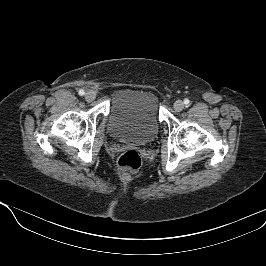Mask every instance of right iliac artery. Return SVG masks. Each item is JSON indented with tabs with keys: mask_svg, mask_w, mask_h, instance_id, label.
Returning <instances> with one entry per match:
<instances>
[{
	"mask_svg": "<svg viewBox=\"0 0 266 266\" xmlns=\"http://www.w3.org/2000/svg\"><path fill=\"white\" fill-rule=\"evenodd\" d=\"M78 93H79V95H80V96H83V95L85 94L84 90H82V89H81V90H79V92H78Z\"/></svg>",
	"mask_w": 266,
	"mask_h": 266,
	"instance_id": "1",
	"label": "right iliac artery"
}]
</instances>
